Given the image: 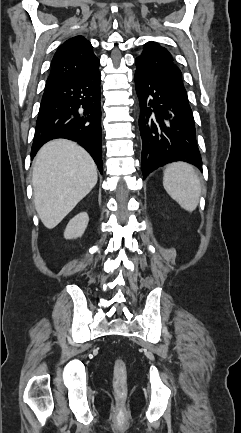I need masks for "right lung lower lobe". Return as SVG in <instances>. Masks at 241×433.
I'll use <instances>...</instances> for the list:
<instances>
[{"label":"right lung lower lobe","mask_w":241,"mask_h":433,"mask_svg":"<svg viewBox=\"0 0 241 433\" xmlns=\"http://www.w3.org/2000/svg\"><path fill=\"white\" fill-rule=\"evenodd\" d=\"M99 66L64 81L45 86L31 158L46 142L76 141L92 156L102 173V135Z\"/></svg>","instance_id":"obj_1"}]
</instances>
